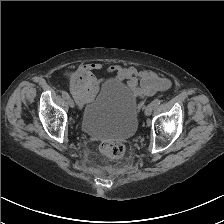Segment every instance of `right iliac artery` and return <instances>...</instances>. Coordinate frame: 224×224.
Instances as JSON below:
<instances>
[{
    "label": "right iliac artery",
    "instance_id": "1",
    "mask_svg": "<svg viewBox=\"0 0 224 224\" xmlns=\"http://www.w3.org/2000/svg\"><path fill=\"white\" fill-rule=\"evenodd\" d=\"M62 97H63L64 99H68V98H69V94H68L66 91H63V92H62Z\"/></svg>",
    "mask_w": 224,
    "mask_h": 224
}]
</instances>
